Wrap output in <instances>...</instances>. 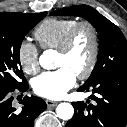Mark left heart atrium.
I'll return each mask as SVG.
<instances>
[{
    "label": "left heart atrium",
    "instance_id": "obj_1",
    "mask_svg": "<svg viewBox=\"0 0 127 127\" xmlns=\"http://www.w3.org/2000/svg\"><path fill=\"white\" fill-rule=\"evenodd\" d=\"M75 82L76 75L70 69L61 67L37 76L32 82V87L37 95L56 100L62 98Z\"/></svg>",
    "mask_w": 127,
    "mask_h": 127
}]
</instances>
